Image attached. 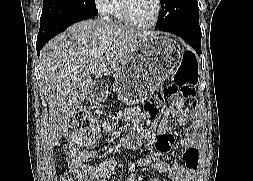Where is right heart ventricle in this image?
I'll return each mask as SVG.
<instances>
[{
  "mask_svg": "<svg viewBox=\"0 0 253 181\" xmlns=\"http://www.w3.org/2000/svg\"><path fill=\"white\" fill-rule=\"evenodd\" d=\"M113 16H114L115 19H117V20H122L121 3H120V0H116V2H115V7H114Z\"/></svg>",
  "mask_w": 253,
  "mask_h": 181,
  "instance_id": "1",
  "label": "right heart ventricle"
}]
</instances>
